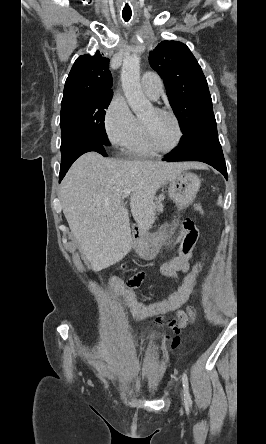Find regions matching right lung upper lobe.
I'll return each instance as SVG.
<instances>
[{"label": "right lung upper lobe", "mask_w": 266, "mask_h": 444, "mask_svg": "<svg viewBox=\"0 0 266 444\" xmlns=\"http://www.w3.org/2000/svg\"><path fill=\"white\" fill-rule=\"evenodd\" d=\"M109 59L99 51L95 55H82L73 64L65 82L62 102L112 92V75Z\"/></svg>", "instance_id": "1"}]
</instances>
